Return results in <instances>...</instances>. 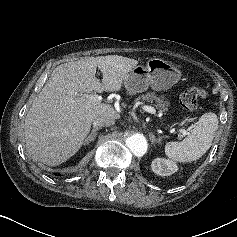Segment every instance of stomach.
I'll use <instances>...</instances> for the list:
<instances>
[{
  "label": "stomach",
  "mask_w": 237,
  "mask_h": 237,
  "mask_svg": "<svg viewBox=\"0 0 237 237\" xmlns=\"http://www.w3.org/2000/svg\"><path fill=\"white\" fill-rule=\"evenodd\" d=\"M181 72L161 58H150L146 66L134 67L124 79V87L130 95L144 92L148 87L165 90L178 82Z\"/></svg>",
  "instance_id": "obj_1"
}]
</instances>
